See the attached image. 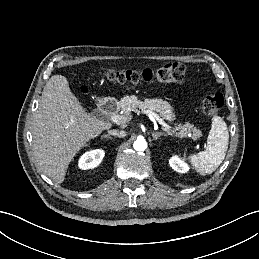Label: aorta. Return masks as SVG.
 I'll use <instances>...</instances> for the list:
<instances>
[{
	"label": "aorta",
	"instance_id": "obj_1",
	"mask_svg": "<svg viewBox=\"0 0 259 259\" xmlns=\"http://www.w3.org/2000/svg\"><path fill=\"white\" fill-rule=\"evenodd\" d=\"M133 147L136 151H144L147 148V142L144 138H138L134 142Z\"/></svg>",
	"mask_w": 259,
	"mask_h": 259
}]
</instances>
